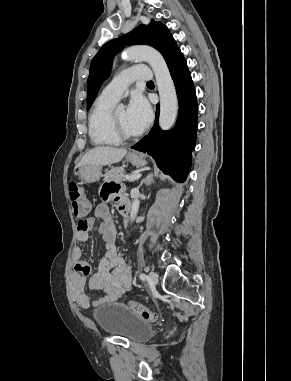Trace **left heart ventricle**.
Listing matches in <instances>:
<instances>
[{
    "mask_svg": "<svg viewBox=\"0 0 291 381\" xmlns=\"http://www.w3.org/2000/svg\"><path fill=\"white\" fill-rule=\"evenodd\" d=\"M117 119L120 126L127 134L134 135L139 133V130L134 126L129 118L128 112L125 108H120L116 110Z\"/></svg>",
    "mask_w": 291,
    "mask_h": 381,
    "instance_id": "obj_1",
    "label": "left heart ventricle"
}]
</instances>
